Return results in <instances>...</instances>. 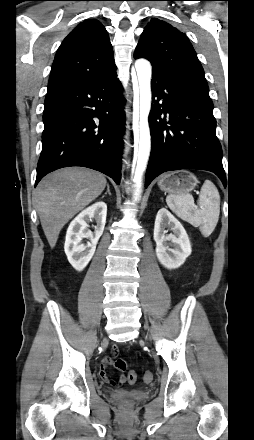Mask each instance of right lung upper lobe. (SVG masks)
Masks as SVG:
<instances>
[{
    "mask_svg": "<svg viewBox=\"0 0 254 440\" xmlns=\"http://www.w3.org/2000/svg\"><path fill=\"white\" fill-rule=\"evenodd\" d=\"M116 73L107 31L96 19L80 23L57 50L48 91L85 79Z\"/></svg>",
    "mask_w": 254,
    "mask_h": 440,
    "instance_id": "cb5924a9",
    "label": "right lung upper lobe"
}]
</instances>
